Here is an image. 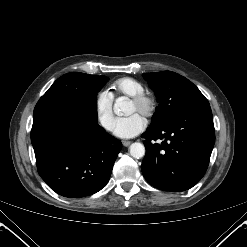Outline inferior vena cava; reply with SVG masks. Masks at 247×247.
<instances>
[{
    "mask_svg": "<svg viewBox=\"0 0 247 247\" xmlns=\"http://www.w3.org/2000/svg\"><path fill=\"white\" fill-rule=\"evenodd\" d=\"M105 127H106L107 129H110V128H111V123H107V124L105 125Z\"/></svg>",
    "mask_w": 247,
    "mask_h": 247,
    "instance_id": "inferior-vena-cava-1",
    "label": "inferior vena cava"
}]
</instances>
